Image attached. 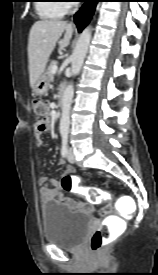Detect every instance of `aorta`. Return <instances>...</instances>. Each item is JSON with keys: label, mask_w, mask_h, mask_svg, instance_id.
Masks as SVG:
<instances>
[{"label": "aorta", "mask_w": 158, "mask_h": 275, "mask_svg": "<svg viewBox=\"0 0 158 275\" xmlns=\"http://www.w3.org/2000/svg\"><path fill=\"white\" fill-rule=\"evenodd\" d=\"M92 31L90 28H86L80 34V37L77 41L75 50L71 56V72L72 75L75 76L79 73L84 59L86 57L88 47L91 40ZM74 95V87L73 84L70 83L63 94L62 99V114L60 119V132L67 133L70 126V110H71V103Z\"/></svg>", "instance_id": "aorta-1"}]
</instances>
